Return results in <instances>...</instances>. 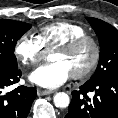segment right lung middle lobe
<instances>
[{
	"instance_id": "dd1d6c3e",
	"label": "right lung middle lobe",
	"mask_w": 118,
	"mask_h": 118,
	"mask_svg": "<svg viewBox=\"0 0 118 118\" xmlns=\"http://www.w3.org/2000/svg\"><path fill=\"white\" fill-rule=\"evenodd\" d=\"M30 28L31 25L24 22L0 19V70L18 68L15 45Z\"/></svg>"
}]
</instances>
